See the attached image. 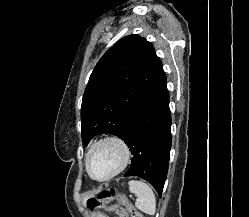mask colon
Instances as JSON below:
<instances>
[{
	"mask_svg": "<svg viewBox=\"0 0 249 217\" xmlns=\"http://www.w3.org/2000/svg\"><path fill=\"white\" fill-rule=\"evenodd\" d=\"M117 200L116 204H112ZM88 207L92 210L105 209L114 212L118 217H143L124 196L114 188L103 189L96 197L88 199Z\"/></svg>",
	"mask_w": 249,
	"mask_h": 217,
	"instance_id": "5ec220e1",
	"label": "colon"
}]
</instances>
